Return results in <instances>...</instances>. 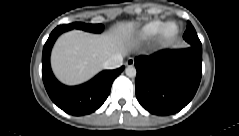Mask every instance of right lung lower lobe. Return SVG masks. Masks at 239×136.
Returning a JSON list of instances; mask_svg holds the SVG:
<instances>
[{
	"mask_svg": "<svg viewBox=\"0 0 239 136\" xmlns=\"http://www.w3.org/2000/svg\"><path fill=\"white\" fill-rule=\"evenodd\" d=\"M64 32L55 28L43 47L42 78L51 100L64 112L80 116L97 110L110 94L114 79L123 71L124 66L116 70H105L89 82L79 86H65L57 81L50 67V52L57 37Z\"/></svg>",
	"mask_w": 239,
	"mask_h": 136,
	"instance_id": "right-lung-lower-lobe-1",
	"label": "right lung lower lobe"
}]
</instances>
